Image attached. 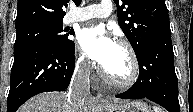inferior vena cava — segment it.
I'll use <instances>...</instances> for the list:
<instances>
[{"label":"inferior vena cava","instance_id":"602c4592","mask_svg":"<svg viewBox=\"0 0 193 112\" xmlns=\"http://www.w3.org/2000/svg\"><path fill=\"white\" fill-rule=\"evenodd\" d=\"M90 65L88 62L77 64L68 92V100L72 104H80L90 94Z\"/></svg>","mask_w":193,"mask_h":112}]
</instances>
